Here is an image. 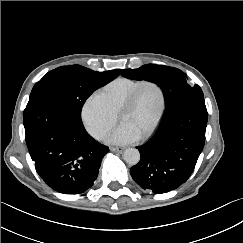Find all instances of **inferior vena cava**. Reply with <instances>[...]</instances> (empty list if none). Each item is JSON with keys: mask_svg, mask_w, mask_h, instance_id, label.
<instances>
[{"mask_svg": "<svg viewBox=\"0 0 243 243\" xmlns=\"http://www.w3.org/2000/svg\"><path fill=\"white\" fill-rule=\"evenodd\" d=\"M105 132L103 130H95L93 132V136L97 139H99L100 137L104 136Z\"/></svg>", "mask_w": 243, "mask_h": 243, "instance_id": "602c4592", "label": "inferior vena cava"}]
</instances>
